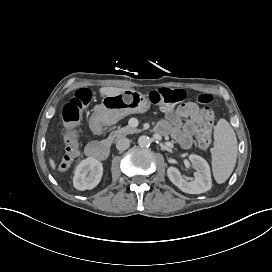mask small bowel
Here are the masks:
<instances>
[{
    "label": "small bowel",
    "instance_id": "1",
    "mask_svg": "<svg viewBox=\"0 0 272 272\" xmlns=\"http://www.w3.org/2000/svg\"><path fill=\"white\" fill-rule=\"evenodd\" d=\"M165 118L155 126L159 135H170L182 148L192 146L193 136L203 128L198 126L197 120L201 111L192 101L183 102L177 108L164 107Z\"/></svg>",
    "mask_w": 272,
    "mask_h": 272
}]
</instances>
